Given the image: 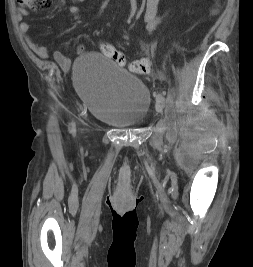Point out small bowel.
I'll list each match as a JSON object with an SVG mask.
<instances>
[{"label":"small bowel","mask_w":253,"mask_h":267,"mask_svg":"<svg viewBox=\"0 0 253 267\" xmlns=\"http://www.w3.org/2000/svg\"><path fill=\"white\" fill-rule=\"evenodd\" d=\"M75 4L70 7V12L72 14H77L80 12L79 3H83L86 0H72ZM159 0H147L146 2V10L144 15V20L147 25L149 31L155 30L157 26H159L162 21L165 19L166 15L157 16V9H158ZM30 25L28 22H21L20 30L24 34L25 42L28 47L36 53L38 56L42 58L48 57V50L46 47L41 46L35 42V40L29 34ZM85 51V47L83 45H79L77 47L78 54H82ZM54 57L56 61L63 67L67 66L69 61L64 57V55L56 51L54 53Z\"/></svg>","instance_id":"1"}]
</instances>
